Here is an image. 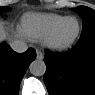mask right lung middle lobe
<instances>
[{
	"label": "right lung middle lobe",
	"instance_id": "obj_1",
	"mask_svg": "<svg viewBox=\"0 0 95 95\" xmlns=\"http://www.w3.org/2000/svg\"><path fill=\"white\" fill-rule=\"evenodd\" d=\"M8 10V7H0V11L3 12V11H7Z\"/></svg>",
	"mask_w": 95,
	"mask_h": 95
}]
</instances>
